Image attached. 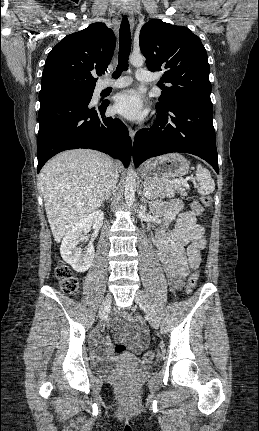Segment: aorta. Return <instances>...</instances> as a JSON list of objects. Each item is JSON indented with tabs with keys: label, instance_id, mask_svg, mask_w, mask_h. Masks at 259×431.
<instances>
[{
	"label": "aorta",
	"instance_id": "1",
	"mask_svg": "<svg viewBox=\"0 0 259 431\" xmlns=\"http://www.w3.org/2000/svg\"><path fill=\"white\" fill-rule=\"evenodd\" d=\"M130 63L135 67H141L144 63L143 56L140 54H132L129 57ZM136 180L135 171L129 168L125 184V203L128 207L132 206L135 201Z\"/></svg>",
	"mask_w": 259,
	"mask_h": 431
}]
</instances>
